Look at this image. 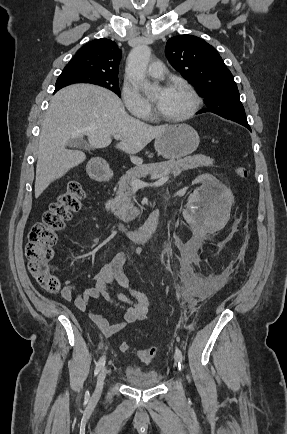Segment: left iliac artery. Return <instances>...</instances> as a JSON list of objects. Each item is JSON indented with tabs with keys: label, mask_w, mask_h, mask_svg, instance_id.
<instances>
[{
	"label": "left iliac artery",
	"mask_w": 287,
	"mask_h": 434,
	"mask_svg": "<svg viewBox=\"0 0 287 434\" xmlns=\"http://www.w3.org/2000/svg\"><path fill=\"white\" fill-rule=\"evenodd\" d=\"M175 354L177 356L178 366H179V368H181V365H182L183 360H184L182 352H181V350L179 348H176Z\"/></svg>",
	"instance_id": "1"
}]
</instances>
